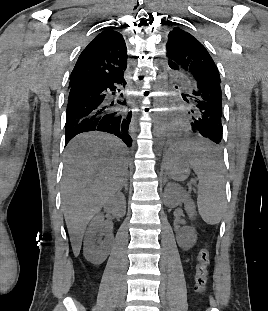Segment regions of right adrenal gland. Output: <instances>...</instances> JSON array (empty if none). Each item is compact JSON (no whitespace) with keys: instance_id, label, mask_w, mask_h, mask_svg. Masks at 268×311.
<instances>
[{"instance_id":"1","label":"right adrenal gland","mask_w":268,"mask_h":311,"mask_svg":"<svg viewBox=\"0 0 268 311\" xmlns=\"http://www.w3.org/2000/svg\"><path fill=\"white\" fill-rule=\"evenodd\" d=\"M123 187H125V190H127V183H126V181L120 186L119 190H121Z\"/></svg>"}]
</instances>
